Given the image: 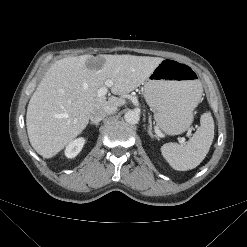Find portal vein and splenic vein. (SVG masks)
<instances>
[{
  "mask_svg": "<svg viewBox=\"0 0 247 247\" xmlns=\"http://www.w3.org/2000/svg\"><path fill=\"white\" fill-rule=\"evenodd\" d=\"M112 81L111 80H107L106 82H105V84L102 86V87H100L99 89H98V91H97V95H98V97H102V96H105L106 94H107V92H108V88L109 87H111L112 86ZM180 143H185V138H181L180 139Z\"/></svg>",
  "mask_w": 247,
  "mask_h": 247,
  "instance_id": "18ae733b",
  "label": "portal vein and splenic vein"
}]
</instances>
